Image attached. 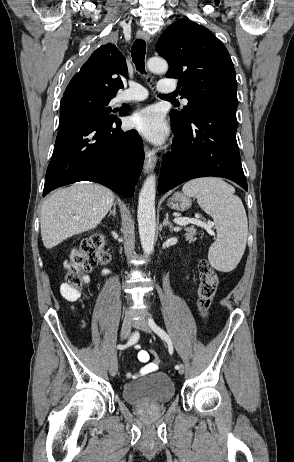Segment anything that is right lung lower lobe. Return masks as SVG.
I'll return each mask as SVG.
<instances>
[{
    "mask_svg": "<svg viewBox=\"0 0 294 462\" xmlns=\"http://www.w3.org/2000/svg\"><path fill=\"white\" fill-rule=\"evenodd\" d=\"M143 160L140 136L134 130L123 132L117 118L64 125L59 127L43 196L67 184L93 181L130 198Z\"/></svg>",
    "mask_w": 294,
    "mask_h": 462,
    "instance_id": "98d812e1",
    "label": "right lung lower lobe"
}]
</instances>
